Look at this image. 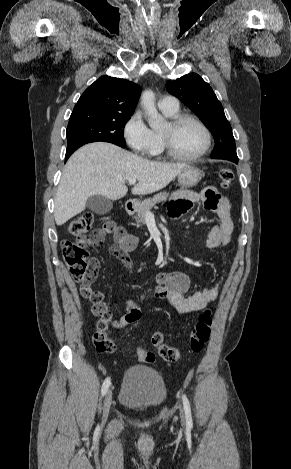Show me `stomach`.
<instances>
[{"instance_id": "0dacf381", "label": "stomach", "mask_w": 291, "mask_h": 469, "mask_svg": "<svg viewBox=\"0 0 291 469\" xmlns=\"http://www.w3.org/2000/svg\"><path fill=\"white\" fill-rule=\"evenodd\" d=\"M201 178L202 172L192 166H189L178 174V182L184 188L195 186Z\"/></svg>"}]
</instances>
